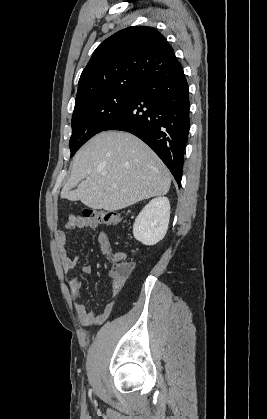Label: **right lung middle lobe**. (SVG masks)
<instances>
[{
	"label": "right lung middle lobe",
	"instance_id": "dd1d6c3e",
	"mask_svg": "<svg viewBox=\"0 0 267 419\" xmlns=\"http://www.w3.org/2000/svg\"><path fill=\"white\" fill-rule=\"evenodd\" d=\"M140 86H127L104 91L75 103L70 138L71 157L95 134L103 129L132 101Z\"/></svg>",
	"mask_w": 267,
	"mask_h": 419
}]
</instances>
